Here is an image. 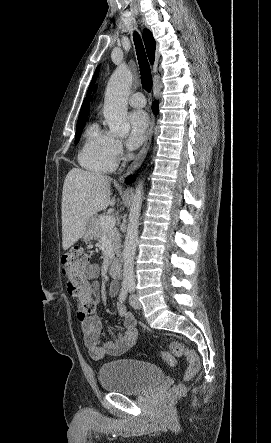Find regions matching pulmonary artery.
<instances>
[{"label":"pulmonary artery","mask_w":271,"mask_h":443,"mask_svg":"<svg viewBox=\"0 0 271 443\" xmlns=\"http://www.w3.org/2000/svg\"><path fill=\"white\" fill-rule=\"evenodd\" d=\"M128 103L135 108H141L145 106L146 99L144 95L140 92L133 93L128 98Z\"/></svg>","instance_id":"obj_1"}]
</instances>
